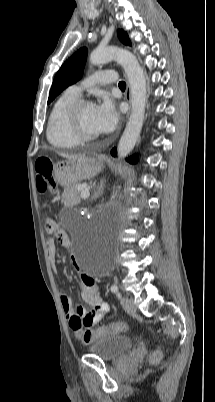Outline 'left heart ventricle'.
<instances>
[{
  "mask_svg": "<svg viewBox=\"0 0 215 402\" xmlns=\"http://www.w3.org/2000/svg\"><path fill=\"white\" fill-rule=\"evenodd\" d=\"M82 129L88 134H98L95 128V106H85L80 115Z\"/></svg>",
  "mask_w": 215,
  "mask_h": 402,
  "instance_id": "b2bd125f",
  "label": "left heart ventricle"
}]
</instances>
